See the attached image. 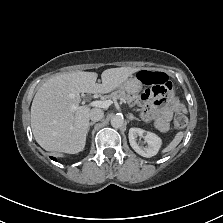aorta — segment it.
Returning a JSON list of instances; mask_svg holds the SVG:
<instances>
[{
  "mask_svg": "<svg viewBox=\"0 0 223 223\" xmlns=\"http://www.w3.org/2000/svg\"><path fill=\"white\" fill-rule=\"evenodd\" d=\"M124 124V119L121 115H116L111 118V126L114 128H120Z\"/></svg>",
  "mask_w": 223,
  "mask_h": 223,
  "instance_id": "obj_1",
  "label": "aorta"
}]
</instances>
